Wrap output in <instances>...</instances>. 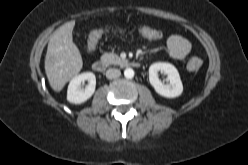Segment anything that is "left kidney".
<instances>
[{"mask_svg": "<svg viewBox=\"0 0 248 165\" xmlns=\"http://www.w3.org/2000/svg\"><path fill=\"white\" fill-rule=\"evenodd\" d=\"M164 72L167 75L169 84H163L158 77V72ZM149 81L155 91L166 98H175L182 94L183 85L178 70L170 63L157 62L149 67Z\"/></svg>", "mask_w": 248, "mask_h": 165, "instance_id": "5707ae66", "label": "left kidney"}]
</instances>
